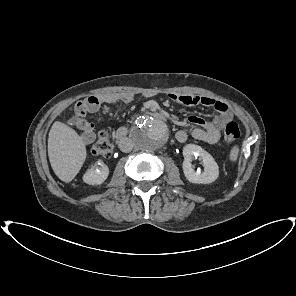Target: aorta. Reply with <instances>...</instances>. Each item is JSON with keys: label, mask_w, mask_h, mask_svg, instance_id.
Listing matches in <instances>:
<instances>
[{"label": "aorta", "mask_w": 296, "mask_h": 296, "mask_svg": "<svg viewBox=\"0 0 296 296\" xmlns=\"http://www.w3.org/2000/svg\"><path fill=\"white\" fill-rule=\"evenodd\" d=\"M131 138L140 150H157L168 141L169 128L163 121L142 116L138 118L131 130Z\"/></svg>", "instance_id": "obj_1"}]
</instances>
